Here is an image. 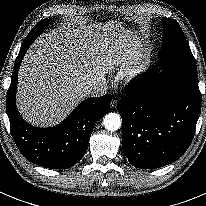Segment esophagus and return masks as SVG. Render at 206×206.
Returning a JSON list of instances; mask_svg holds the SVG:
<instances>
[{
    "label": "esophagus",
    "instance_id": "34e87169",
    "mask_svg": "<svg viewBox=\"0 0 206 206\" xmlns=\"http://www.w3.org/2000/svg\"><path fill=\"white\" fill-rule=\"evenodd\" d=\"M117 105H118V99H113L111 101V108L115 109V108H117Z\"/></svg>",
    "mask_w": 206,
    "mask_h": 206
}]
</instances>
